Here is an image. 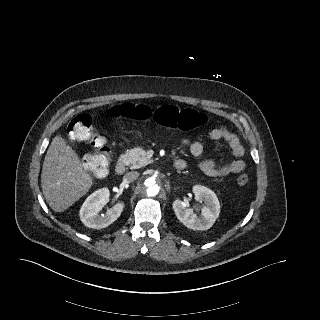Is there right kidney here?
Listing matches in <instances>:
<instances>
[{
  "mask_svg": "<svg viewBox=\"0 0 320 320\" xmlns=\"http://www.w3.org/2000/svg\"><path fill=\"white\" fill-rule=\"evenodd\" d=\"M109 197L108 188H101L84 201L80 209V219L86 227L102 229L119 218L124 209V203L122 202L108 209L104 215L99 214L104 205L108 203Z\"/></svg>",
  "mask_w": 320,
  "mask_h": 320,
  "instance_id": "1",
  "label": "right kidney"
}]
</instances>
